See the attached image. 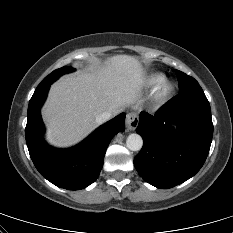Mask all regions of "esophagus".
<instances>
[{
	"instance_id": "obj_1",
	"label": "esophagus",
	"mask_w": 233,
	"mask_h": 233,
	"mask_svg": "<svg viewBox=\"0 0 233 233\" xmlns=\"http://www.w3.org/2000/svg\"><path fill=\"white\" fill-rule=\"evenodd\" d=\"M139 118L134 112L128 113L126 116V127L128 131H133L138 126Z\"/></svg>"
}]
</instances>
